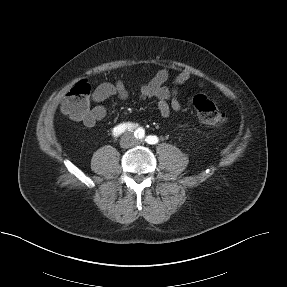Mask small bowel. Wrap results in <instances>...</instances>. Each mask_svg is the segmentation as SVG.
<instances>
[{
	"label": "small bowel",
	"mask_w": 287,
	"mask_h": 287,
	"mask_svg": "<svg viewBox=\"0 0 287 287\" xmlns=\"http://www.w3.org/2000/svg\"><path fill=\"white\" fill-rule=\"evenodd\" d=\"M169 78V70L162 68L148 83L143 84L139 89V97L153 100L163 117L169 116L171 111L181 109V103L177 97V87L189 81L191 73L188 70L179 72L173 79L172 87L165 85ZM200 85H202V82H200ZM113 96H118L122 100L128 99L129 92L122 80L115 83L105 82L95 88L92 94V101L95 105L90 108L81 122L86 127L93 128L98 121L106 116V108L102 103Z\"/></svg>",
	"instance_id": "small-bowel-1"
}]
</instances>
